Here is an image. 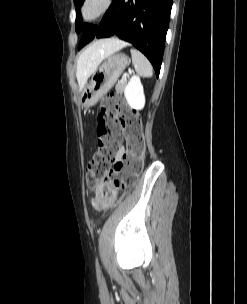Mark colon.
I'll return each instance as SVG.
<instances>
[{
    "instance_id": "1",
    "label": "colon",
    "mask_w": 247,
    "mask_h": 304,
    "mask_svg": "<svg viewBox=\"0 0 247 304\" xmlns=\"http://www.w3.org/2000/svg\"><path fill=\"white\" fill-rule=\"evenodd\" d=\"M97 134L99 147L86 170V184L90 189L97 188L98 206H111L119 191L136 183L144 166L146 145L140 116L121 95L109 94L102 101ZM121 136L126 139V151L110 168Z\"/></svg>"
}]
</instances>
